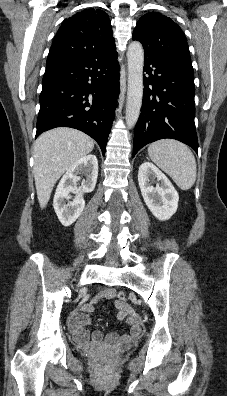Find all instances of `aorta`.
I'll use <instances>...</instances> for the list:
<instances>
[{
	"mask_svg": "<svg viewBox=\"0 0 227 396\" xmlns=\"http://www.w3.org/2000/svg\"><path fill=\"white\" fill-rule=\"evenodd\" d=\"M128 91L126 102V124L133 128L138 121L143 97L144 50L140 42L128 46Z\"/></svg>",
	"mask_w": 227,
	"mask_h": 396,
	"instance_id": "aorta-1",
	"label": "aorta"
}]
</instances>
